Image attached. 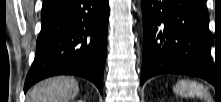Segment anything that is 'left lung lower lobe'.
<instances>
[{
  "label": "left lung lower lobe",
  "mask_w": 221,
  "mask_h": 102,
  "mask_svg": "<svg viewBox=\"0 0 221 102\" xmlns=\"http://www.w3.org/2000/svg\"><path fill=\"white\" fill-rule=\"evenodd\" d=\"M144 27L141 84L158 74L201 77L211 84L215 66L204 0H142Z\"/></svg>",
  "instance_id": "0a47b994"
}]
</instances>
